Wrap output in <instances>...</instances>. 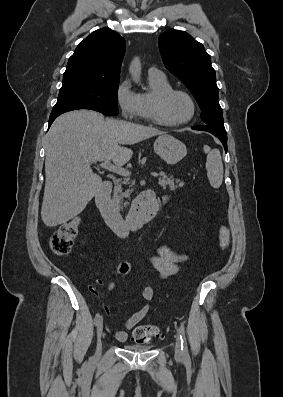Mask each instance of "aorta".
<instances>
[{
	"label": "aorta",
	"mask_w": 283,
	"mask_h": 397,
	"mask_svg": "<svg viewBox=\"0 0 283 397\" xmlns=\"http://www.w3.org/2000/svg\"><path fill=\"white\" fill-rule=\"evenodd\" d=\"M129 72L134 82L138 83L141 76V63L138 57H135L129 67Z\"/></svg>",
	"instance_id": "762f6f07"
}]
</instances>
